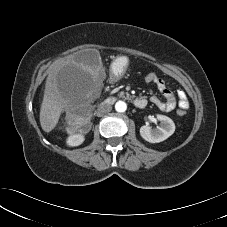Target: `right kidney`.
Returning a JSON list of instances; mask_svg holds the SVG:
<instances>
[{
	"mask_svg": "<svg viewBox=\"0 0 227 227\" xmlns=\"http://www.w3.org/2000/svg\"><path fill=\"white\" fill-rule=\"evenodd\" d=\"M84 140L85 136L83 134H73L67 138L66 143L68 146L74 147L81 145L84 142Z\"/></svg>",
	"mask_w": 227,
	"mask_h": 227,
	"instance_id": "1",
	"label": "right kidney"
}]
</instances>
